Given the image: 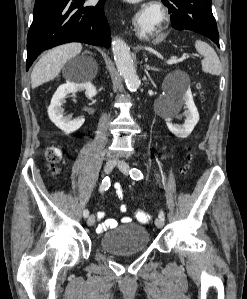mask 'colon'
I'll list each match as a JSON object with an SVG mask.
<instances>
[{"label":"colon","mask_w":247,"mask_h":299,"mask_svg":"<svg viewBox=\"0 0 247 299\" xmlns=\"http://www.w3.org/2000/svg\"><path fill=\"white\" fill-rule=\"evenodd\" d=\"M46 158L49 162L50 170L53 173H57L58 172V163L61 159V151L57 147L51 146L46 151ZM191 159H192V154H189L188 163L183 168V172H187L190 169ZM116 193H119V194L122 193V188L120 185L116 188ZM135 217H136L137 221L141 224H148L151 221V215L143 210L136 211Z\"/></svg>","instance_id":"1"}]
</instances>
